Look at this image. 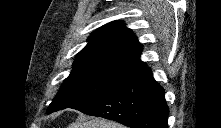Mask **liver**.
Wrapping results in <instances>:
<instances>
[{
    "label": "liver",
    "mask_w": 221,
    "mask_h": 128,
    "mask_svg": "<svg viewBox=\"0 0 221 128\" xmlns=\"http://www.w3.org/2000/svg\"><path fill=\"white\" fill-rule=\"evenodd\" d=\"M68 128H124V126L103 118H92L86 121L73 122Z\"/></svg>",
    "instance_id": "1"
}]
</instances>
